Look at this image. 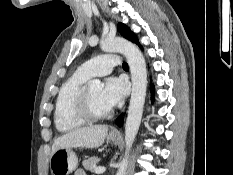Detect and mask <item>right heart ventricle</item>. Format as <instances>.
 Here are the masks:
<instances>
[{"mask_svg":"<svg viewBox=\"0 0 233 175\" xmlns=\"http://www.w3.org/2000/svg\"><path fill=\"white\" fill-rule=\"evenodd\" d=\"M86 81L87 78L75 73L62 84L54 108V123L58 131L71 132L87 123L74 112L75 100Z\"/></svg>","mask_w":233,"mask_h":175,"instance_id":"e07e8e85","label":"right heart ventricle"}]
</instances>
